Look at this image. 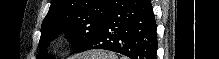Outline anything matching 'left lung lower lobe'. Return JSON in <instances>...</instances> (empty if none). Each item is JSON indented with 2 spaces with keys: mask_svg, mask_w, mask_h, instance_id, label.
<instances>
[{
  "mask_svg": "<svg viewBox=\"0 0 219 59\" xmlns=\"http://www.w3.org/2000/svg\"><path fill=\"white\" fill-rule=\"evenodd\" d=\"M156 28L150 0H114L95 37L76 53L104 49L131 59H156Z\"/></svg>",
  "mask_w": 219,
  "mask_h": 59,
  "instance_id": "1",
  "label": "left lung lower lobe"
}]
</instances>
